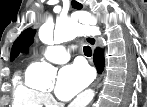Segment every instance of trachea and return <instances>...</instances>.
Masks as SVG:
<instances>
[{"label":"trachea","mask_w":147,"mask_h":107,"mask_svg":"<svg viewBox=\"0 0 147 107\" xmlns=\"http://www.w3.org/2000/svg\"><path fill=\"white\" fill-rule=\"evenodd\" d=\"M83 51H84L85 56L91 57L92 51H91V48L89 46H84Z\"/></svg>","instance_id":"1"}]
</instances>
